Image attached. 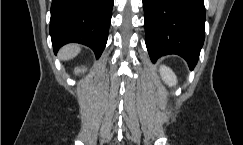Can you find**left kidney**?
Here are the masks:
<instances>
[{
    "instance_id": "5707ae66",
    "label": "left kidney",
    "mask_w": 243,
    "mask_h": 145,
    "mask_svg": "<svg viewBox=\"0 0 243 145\" xmlns=\"http://www.w3.org/2000/svg\"><path fill=\"white\" fill-rule=\"evenodd\" d=\"M160 74L167 85L174 86L177 84L176 75L169 67L162 65L160 67Z\"/></svg>"
}]
</instances>
